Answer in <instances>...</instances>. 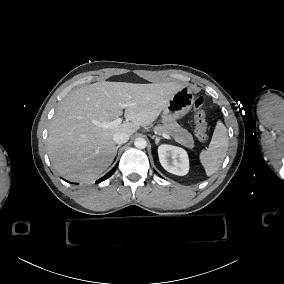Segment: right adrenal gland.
<instances>
[{
    "mask_svg": "<svg viewBox=\"0 0 284 284\" xmlns=\"http://www.w3.org/2000/svg\"><path fill=\"white\" fill-rule=\"evenodd\" d=\"M120 147H121V144H119V145L116 147L115 154L118 152V150H119Z\"/></svg>",
    "mask_w": 284,
    "mask_h": 284,
    "instance_id": "right-adrenal-gland-1",
    "label": "right adrenal gland"
}]
</instances>
